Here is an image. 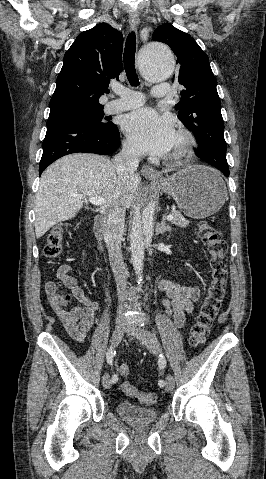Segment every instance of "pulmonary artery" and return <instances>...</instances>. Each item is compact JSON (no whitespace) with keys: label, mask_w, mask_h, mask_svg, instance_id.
<instances>
[{"label":"pulmonary artery","mask_w":266,"mask_h":479,"mask_svg":"<svg viewBox=\"0 0 266 479\" xmlns=\"http://www.w3.org/2000/svg\"><path fill=\"white\" fill-rule=\"evenodd\" d=\"M119 95L118 99L107 103L106 111L108 113H116L136 108L143 103V96L139 91L123 88L115 90ZM169 93V85L167 83H160L152 89V95L156 98H165Z\"/></svg>","instance_id":"e3ab8cb5"}]
</instances>
